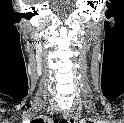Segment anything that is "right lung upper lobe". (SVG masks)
I'll return each instance as SVG.
<instances>
[{"instance_id":"obj_1","label":"right lung upper lobe","mask_w":124,"mask_h":123,"mask_svg":"<svg viewBox=\"0 0 124 123\" xmlns=\"http://www.w3.org/2000/svg\"><path fill=\"white\" fill-rule=\"evenodd\" d=\"M54 122H57V120H55ZM31 123H43V120L37 119V120H33Z\"/></svg>"}]
</instances>
